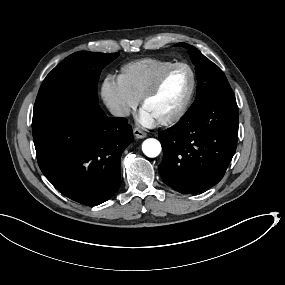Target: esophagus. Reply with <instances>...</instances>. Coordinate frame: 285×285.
<instances>
[{
  "instance_id": "esophagus-1",
  "label": "esophagus",
  "mask_w": 285,
  "mask_h": 285,
  "mask_svg": "<svg viewBox=\"0 0 285 285\" xmlns=\"http://www.w3.org/2000/svg\"><path fill=\"white\" fill-rule=\"evenodd\" d=\"M133 134L135 135L136 138H139V139H143L146 137V133L143 132L142 130H140L139 128H135L133 130Z\"/></svg>"
}]
</instances>
